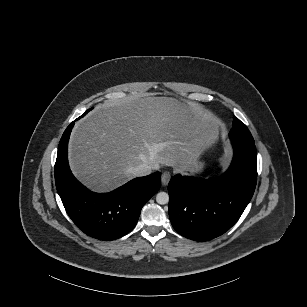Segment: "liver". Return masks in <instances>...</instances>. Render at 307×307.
<instances>
[{
    "mask_svg": "<svg viewBox=\"0 0 307 307\" xmlns=\"http://www.w3.org/2000/svg\"><path fill=\"white\" fill-rule=\"evenodd\" d=\"M203 106L148 93L105 100L76 123L69 146L73 176L89 191L110 193L135 178L131 167L190 170L200 152Z\"/></svg>",
    "mask_w": 307,
    "mask_h": 307,
    "instance_id": "1",
    "label": "liver"
}]
</instances>
